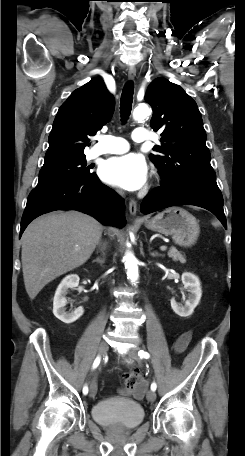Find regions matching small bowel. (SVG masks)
<instances>
[{
    "label": "small bowel",
    "instance_id": "c3829d8e",
    "mask_svg": "<svg viewBox=\"0 0 245 456\" xmlns=\"http://www.w3.org/2000/svg\"><path fill=\"white\" fill-rule=\"evenodd\" d=\"M190 338H191V335H190L189 332H185L182 335H180V337L178 338V340L176 341V344H175V351L179 352V353L183 352L186 349V347L188 346V344L190 342ZM146 387H147V383L146 382H142L133 391L120 390V392L122 394H130V393H132L135 397L140 398L143 395V392L145 391Z\"/></svg>",
    "mask_w": 245,
    "mask_h": 456
}]
</instances>
